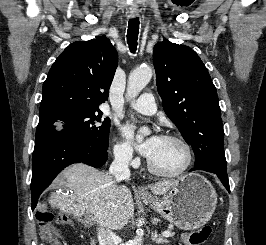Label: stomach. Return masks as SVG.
<instances>
[{"label": "stomach", "instance_id": "stomach-1", "mask_svg": "<svg viewBox=\"0 0 266 245\" xmlns=\"http://www.w3.org/2000/svg\"><path fill=\"white\" fill-rule=\"evenodd\" d=\"M142 199L150 209L183 231H196L206 225L218 201L217 193L210 181L199 173L179 177L176 185L161 199L149 195Z\"/></svg>", "mask_w": 266, "mask_h": 245}]
</instances>
